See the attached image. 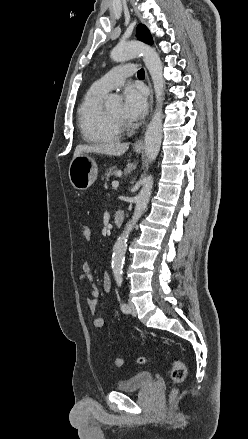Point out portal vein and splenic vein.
I'll return each instance as SVG.
<instances>
[{
  "mask_svg": "<svg viewBox=\"0 0 248 439\" xmlns=\"http://www.w3.org/2000/svg\"><path fill=\"white\" fill-rule=\"evenodd\" d=\"M119 186V182L118 181H113L112 182V187L113 188H117Z\"/></svg>",
  "mask_w": 248,
  "mask_h": 439,
  "instance_id": "obj_1",
  "label": "portal vein and splenic vein"
}]
</instances>
